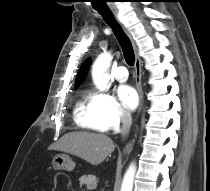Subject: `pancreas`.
<instances>
[{"instance_id":"obj_1","label":"pancreas","mask_w":210,"mask_h":191,"mask_svg":"<svg viewBox=\"0 0 210 191\" xmlns=\"http://www.w3.org/2000/svg\"><path fill=\"white\" fill-rule=\"evenodd\" d=\"M79 181H80V185L81 186L84 185L87 190L96 189L97 182H98L96 176H94V175H87V176L84 175L79 179Z\"/></svg>"}]
</instances>
